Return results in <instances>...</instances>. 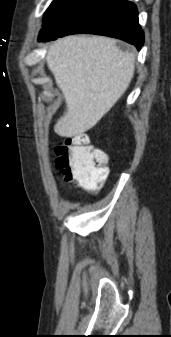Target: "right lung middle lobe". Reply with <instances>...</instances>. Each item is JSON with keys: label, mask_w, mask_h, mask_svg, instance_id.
<instances>
[{"label": "right lung middle lobe", "mask_w": 171, "mask_h": 337, "mask_svg": "<svg viewBox=\"0 0 171 337\" xmlns=\"http://www.w3.org/2000/svg\"><path fill=\"white\" fill-rule=\"evenodd\" d=\"M73 0H53L44 15L43 26L62 13Z\"/></svg>", "instance_id": "right-lung-middle-lobe-1"}]
</instances>
